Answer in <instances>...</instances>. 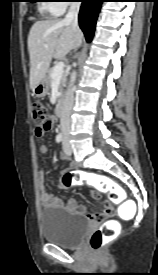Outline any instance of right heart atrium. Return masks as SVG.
<instances>
[{"instance_id": "1", "label": "right heart atrium", "mask_w": 158, "mask_h": 275, "mask_svg": "<svg viewBox=\"0 0 158 275\" xmlns=\"http://www.w3.org/2000/svg\"><path fill=\"white\" fill-rule=\"evenodd\" d=\"M76 0H55L52 3L54 10L58 11L59 14L63 13L66 8L70 5V2H75Z\"/></svg>"}]
</instances>
